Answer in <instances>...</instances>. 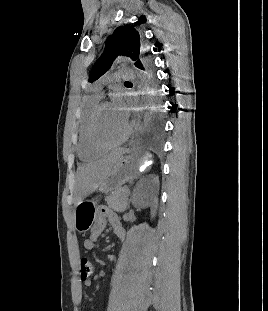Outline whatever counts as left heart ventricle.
Here are the masks:
<instances>
[{
    "instance_id": "left-heart-ventricle-1",
    "label": "left heart ventricle",
    "mask_w": 268,
    "mask_h": 311,
    "mask_svg": "<svg viewBox=\"0 0 268 311\" xmlns=\"http://www.w3.org/2000/svg\"><path fill=\"white\" fill-rule=\"evenodd\" d=\"M127 122L113 109L112 105L105 106L97 120V135L105 143L120 139L125 133Z\"/></svg>"
}]
</instances>
